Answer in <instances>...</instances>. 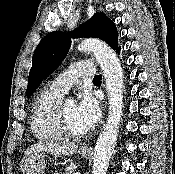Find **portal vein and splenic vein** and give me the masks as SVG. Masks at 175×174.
<instances>
[{
	"instance_id": "obj_1",
	"label": "portal vein and splenic vein",
	"mask_w": 175,
	"mask_h": 174,
	"mask_svg": "<svg viewBox=\"0 0 175 174\" xmlns=\"http://www.w3.org/2000/svg\"><path fill=\"white\" fill-rule=\"evenodd\" d=\"M75 174H80V172H76Z\"/></svg>"
}]
</instances>
